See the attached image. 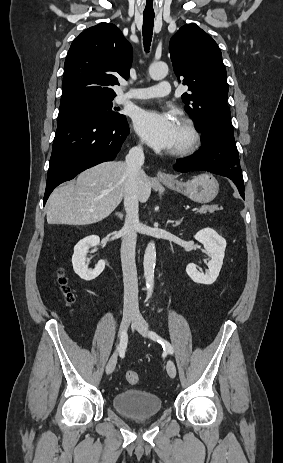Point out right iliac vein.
<instances>
[{
    "label": "right iliac vein",
    "instance_id": "63e3f726",
    "mask_svg": "<svg viewBox=\"0 0 283 463\" xmlns=\"http://www.w3.org/2000/svg\"><path fill=\"white\" fill-rule=\"evenodd\" d=\"M135 316V312L133 311H129V310H126L124 311L123 313V317H122V322H121V332L120 334H122L123 331H126L131 323V321L133 320ZM117 358H118V350L116 352L113 353V355L110 357L108 363H107V366H106V373L107 374H111L115 367H116V363H117Z\"/></svg>",
    "mask_w": 283,
    "mask_h": 463
}]
</instances>
